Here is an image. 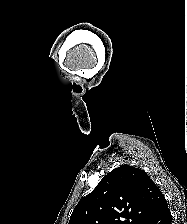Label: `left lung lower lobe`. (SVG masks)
Masks as SVG:
<instances>
[{
  "label": "left lung lower lobe",
  "instance_id": "0a47b994",
  "mask_svg": "<svg viewBox=\"0 0 187 224\" xmlns=\"http://www.w3.org/2000/svg\"><path fill=\"white\" fill-rule=\"evenodd\" d=\"M148 224H172V215L164 196H162L160 205Z\"/></svg>",
  "mask_w": 187,
  "mask_h": 224
}]
</instances>
